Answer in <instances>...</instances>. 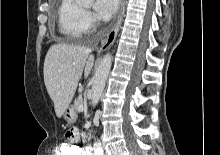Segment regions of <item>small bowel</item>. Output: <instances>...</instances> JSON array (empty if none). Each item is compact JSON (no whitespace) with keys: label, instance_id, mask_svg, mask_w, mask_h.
<instances>
[{"label":"small bowel","instance_id":"obj_1","mask_svg":"<svg viewBox=\"0 0 220 155\" xmlns=\"http://www.w3.org/2000/svg\"><path fill=\"white\" fill-rule=\"evenodd\" d=\"M65 130V140L68 141V143H64L61 146H76L72 144H79L80 139V132L79 130H76V126H67ZM82 155H91V148H81Z\"/></svg>","mask_w":220,"mask_h":155}]
</instances>
